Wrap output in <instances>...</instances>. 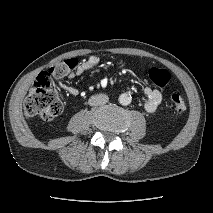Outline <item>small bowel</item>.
Returning <instances> with one entry per match:
<instances>
[{
  "mask_svg": "<svg viewBox=\"0 0 213 213\" xmlns=\"http://www.w3.org/2000/svg\"><path fill=\"white\" fill-rule=\"evenodd\" d=\"M99 58L95 55H90L80 62L67 74L68 79H73L82 75L84 72L92 70L99 65ZM62 88L70 95L77 96L79 91L75 87L61 84ZM144 94L147 100L144 104V109L147 113H154L162 102V94L159 90L151 88L149 86L144 87Z\"/></svg>",
  "mask_w": 213,
  "mask_h": 213,
  "instance_id": "c3829d8e",
  "label": "small bowel"
}]
</instances>
